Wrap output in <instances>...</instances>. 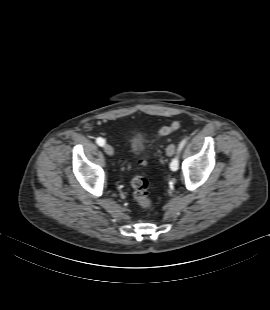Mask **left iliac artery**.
Segmentation results:
<instances>
[{"mask_svg":"<svg viewBox=\"0 0 270 310\" xmlns=\"http://www.w3.org/2000/svg\"><path fill=\"white\" fill-rule=\"evenodd\" d=\"M186 141H187V139H184V140H182V141L180 142V144H179V146H178V152H177V154L180 153V151H181L182 148L184 147ZM178 163H179L178 156H176V157L172 160V162H171V165H170L171 170L176 171V170L178 169V165H179Z\"/></svg>","mask_w":270,"mask_h":310,"instance_id":"left-iliac-artery-1","label":"left iliac artery"}]
</instances>
